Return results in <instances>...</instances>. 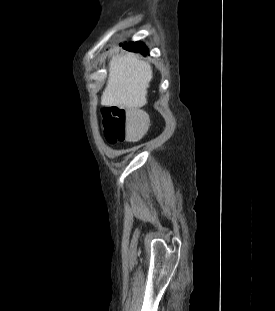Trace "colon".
Here are the masks:
<instances>
[{
	"instance_id": "1",
	"label": "colon",
	"mask_w": 275,
	"mask_h": 311,
	"mask_svg": "<svg viewBox=\"0 0 275 311\" xmlns=\"http://www.w3.org/2000/svg\"><path fill=\"white\" fill-rule=\"evenodd\" d=\"M148 116L139 111L111 107L104 111V134L110 144L141 138L148 129Z\"/></svg>"
}]
</instances>
